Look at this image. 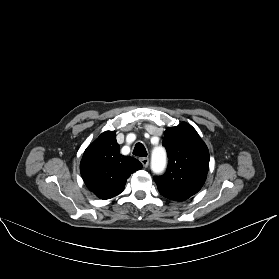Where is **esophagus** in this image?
Returning <instances> with one entry per match:
<instances>
[{
  "mask_svg": "<svg viewBox=\"0 0 279 279\" xmlns=\"http://www.w3.org/2000/svg\"><path fill=\"white\" fill-rule=\"evenodd\" d=\"M140 161H141L143 167H145V168H146V167L148 166V164H149V159L146 158V157L141 158Z\"/></svg>",
  "mask_w": 279,
  "mask_h": 279,
  "instance_id": "1",
  "label": "esophagus"
}]
</instances>
